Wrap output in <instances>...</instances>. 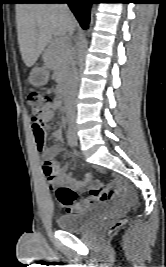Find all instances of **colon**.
<instances>
[{
	"label": "colon",
	"mask_w": 166,
	"mask_h": 267,
	"mask_svg": "<svg viewBox=\"0 0 166 267\" xmlns=\"http://www.w3.org/2000/svg\"><path fill=\"white\" fill-rule=\"evenodd\" d=\"M28 103L32 109V120L39 123L41 117L54 109L56 103L53 99L45 94H42L37 91H32L28 95ZM38 142L40 145L44 144V131L41 127L38 130ZM43 169L48 176H53L55 174V169L51 161L46 160L43 165ZM94 192H115L114 190H102V191H94ZM57 200L63 206H77L78 208L82 207V203H77V194L75 191L68 187H60L56 191ZM122 221L115 223L111 227V231L117 229L122 225Z\"/></svg>",
	"instance_id": "colon-1"
}]
</instances>
